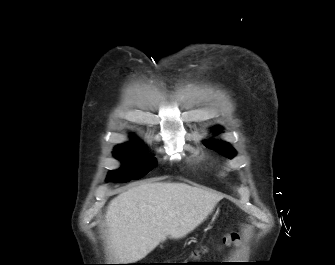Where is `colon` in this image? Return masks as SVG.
Returning a JSON list of instances; mask_svg holds the SVG:
<instances>
[{
  "label": "colon",
  "instance_id": "colon-1",
  "mask_svg": "<svg viewBox=\"0 0 335 265\" xmlns=\"http://www.w3.org/2000/svg\"><path fill=\"white\" fill-rule=\"evenodd\" d=\"M238 241V235L236 233H230V234H227L226 236H224L222 242L226 245H230V244H234ZM206 250H202V252H205ZM199 255V252H194L192 254V257L196 258L198 257Z\"/></svg>",
  "mask_w": 335,
  "mask_h": 265
}]
</instances>
